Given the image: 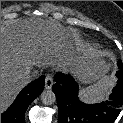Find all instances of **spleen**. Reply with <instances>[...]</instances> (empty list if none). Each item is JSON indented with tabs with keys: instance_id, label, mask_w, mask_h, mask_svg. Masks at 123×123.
I'll list each match as a JSON object with an SVG mask.
<instances>
[{
	"instance_id": "spleen-1",
	"label": "spleen",
	"mask_w": 123,
	"mask_h": 123,
	"mask_svg": "<svg viewBox=\"0 0 123 123\" xmlns=\"http://www.w3.org/2000/svg\"><path fill=\"white\" fill-rule=\"evenodd\" d=\"M115 79L112 76H104L97 83L82 89L79 97L86 103H95L102 100L113 88Z\"/></svg>"
}]
</instances>
